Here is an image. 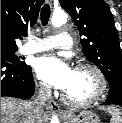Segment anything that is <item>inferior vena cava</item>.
Masks as SVG:
<instances>
[{"label":"inferior vena cava","mask_w":122,"mask_h":123,"mask_svg":"<svg viewBox=\"0 0 122 123\" xmlns=\"http://www.w3.org/2000/svg\"><path fill=\"white\" fill-rule=\"evenodd\" d=\"M51 97V88L48 85H41L39 88L38 96L32 102V107L34 110V113L37 114V116H40L43 114V106L45 105L46 101Z\"/></svg>","instance_id":"1"}]
</instances>
